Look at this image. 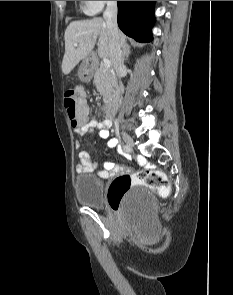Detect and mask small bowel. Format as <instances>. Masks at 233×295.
<instances>
[{
	"mask_svg": "<svg viewBox=\"0 0 233 295\" xmlns=\"http://www.w3.org/2000/svg\"><path fill=\"white\" fill-rule=\"evenodd\" d=\"M112 122L110 119H105L103 121H97L94 117H88L85 123L74 126V131L79 134H86L93 129L98 130L99 136L102 139H108L107 146L109 148H115L118 145V140L116 138H109L110 128ZM96 165L91 159L88 150H81L79 153V164L76 166V171L78 173H91L95 171ZM123 170V167L113 161H105L102 170L96 171L98 177L107 179L114 176L116 173Z\"/></svg>",
	"mask_w": 233,
	"mask_h": 295,
	"instance_id": "c3829d8e",
	"label": "small bowel"
}]
</instances>
